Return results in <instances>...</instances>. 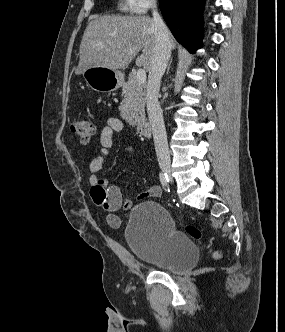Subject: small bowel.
<instances>
[{
    "label": "small bowel",
    "instance_id": "small-bowel-1",
    "mask_svg": "<svg viewBox=\"0 0 285 332\" xmlns=\"http://www.w3.org/2000/svg\"><path fill=\"white\" fill-rule=\"evenodd\" d=\"M124 124L121 119L111 117L106 121L105 126L100 132L99 143L100 149L98 154L90 161L89 164V184L90 195L93 202L103 208L107 213V221L111 227L118 228L120 226V219L116 215L119 210H128L132 207L133 201L131 198H124L120 188L116 185H110L107 179L101 178L99 173L103 168L106 157L113 146L114 134L123 130ZM133 147L127 146L125 152H132ZM161 195L159 186H151L146 191L142 192L139 200L146 198H156Z\"/></svg>",
    "mask_w": 285,
    "mask_h": 332
}]
</instances>
